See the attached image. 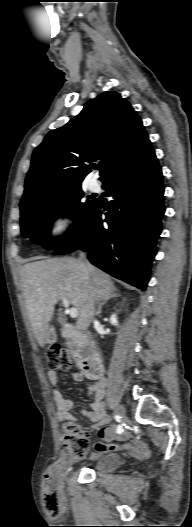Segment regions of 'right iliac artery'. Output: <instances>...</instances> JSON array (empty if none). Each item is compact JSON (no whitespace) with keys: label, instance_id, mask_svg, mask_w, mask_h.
<instances>
[{"label":"right iliac artery","instance_id":"obj_1","mask_svg":"<svg viewBox=\"0 0 192 527\" xmlns=\"http://www.w3.org/2000/svg\"><path fill=\"white\" fill-rule=\"evenodd\" d=\"M116 421H117V420H116ZM116 429H117V431H116L117 433L122 432V429H123L122 424H118V425L116 426Z\"/></svg>","mask_w":192,"mask_h":527}]
</instances>
